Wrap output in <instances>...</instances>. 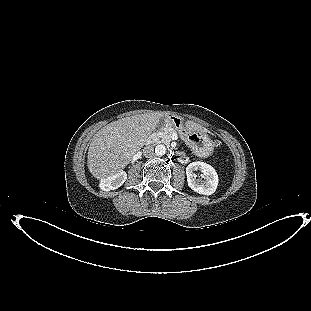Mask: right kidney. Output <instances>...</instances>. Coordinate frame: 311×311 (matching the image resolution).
<instances>
[{
  "mask_svg": "<svg viewBox=\"0 0 311 311\" xmlns=\"http://www.w3.org/2000/svg\"><path fill=\"white\" fill-rule=\"evenodd\" d=\"M126 179L127 174L123 171H120L115 175L109 176L108 178L101 180L100 188L104 191L115 190L119 188L126 181Z\"/></svg>",
  "mask_w": 311,
  "mask_h": 311,
  "instance_id": "ca27d5eb",
  "label": "right kidney"
}]
</instances>
